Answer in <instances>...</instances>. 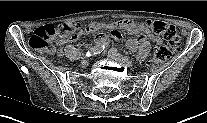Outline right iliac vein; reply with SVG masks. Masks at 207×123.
<instances>
[{
  "label": "right iliac vein",
  "mask_w": 207,
  "mask_h": 123,
  "mask_svg": "<svg viewBox=\"0 0 207 123\" xmlns=\"http://www.w3.org/2000/svg\"><path fill=\"white\" fill-rule=\"evenodd\" d=\"M80 65H81V67H87L89 65V60H87V59L82 60Z\"/></svg>",
  "instance_id": "63e3f726"
}]
</instances>
